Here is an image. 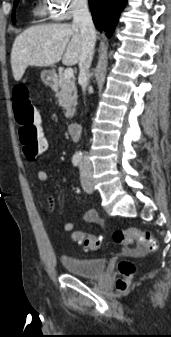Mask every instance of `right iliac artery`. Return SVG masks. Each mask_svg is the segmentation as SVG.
<instances>
[{
  "instance_id": "right-iliac-artery-1",
  "label": "right iliac artery",
  "mask_w": 171,
  "mask_h": 337,
  "mask_svg": "<svg viewBox=\"0 0 171 337\" xmlns=\"http://www.w3.org/2000/svg\"><path fill=\"white\" fill-rule=\"evenodd\" d=\"M82 157L79 155H74L72 158V163L74 166H78L81 163Z\"/></svg>"
}]
</instances>
